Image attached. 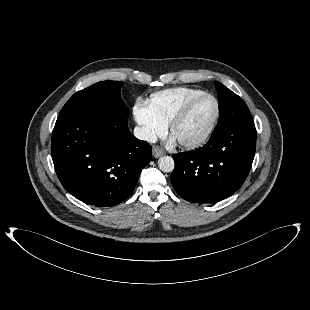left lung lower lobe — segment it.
I'll use <instances>...</instances> for the list:
<instances>
[{
	"instance_id": "obj_1",
	"label": "left lung lower lobe",
	"mask_w": 310,
	"mask_h": 310,
	"mask_svg": "<svg viewBox=\"0 0 310 310\" xmlns=\"http://www.w3.org/2000/svg\"><path fill=\"white\" fill-rule=\"evenodd\" d=\"M256 132L251 115L213 131L203 147L173 155L171 182L185 200L214 203L244 183L255 153Z\"/></svg>"
}]
</instances>
